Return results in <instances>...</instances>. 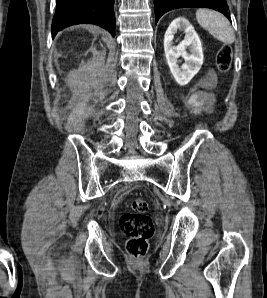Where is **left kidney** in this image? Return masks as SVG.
<instances>
[{"label": "left kidney", "mask_w": 267, "mask_h": 298, "mask_svg": "<svg viewBox=\"0 0 267 298\" xmlns=\"http://www.w3.org/2000/svg\"><path fill=\"white\" fill-rule=\"evenodd\" d=\"M178 30L184 31L185 38L178 45H174V34ZM186 48H189L191 54L186 52ZM164 51L170 71L180 86L188 84L203 64V50L200 38L190 22L183 17L173 20L166 30ZM179 57L185 60L181 67L178 66Z\"/></svg>", "instance_id": "5707ae66"}]
</instances>
